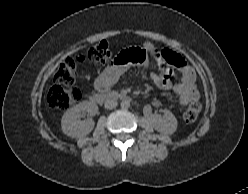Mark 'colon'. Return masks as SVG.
<instances>
[{
	"instance_id": "5ec220e1",
	"label": "colon",
	"mask_w": 248,
	"mask_h": 194,
	"mask_svg": "<svg viewBox=\"0 0 248 194\" xmlns=\"http://www.w3.org/2000/svg\"><path fill=\"white\" fill-rule=\"evenodd\" d=\"M170 50H158L154 53L157 64L162 63V58H168ZM142 54L141 50L133 49L123 54L124 62H133ZM95 62L108 63L111 54L107 42L101 41L90 47L87 54H78L67 58L57 69L54 84L50 87L47 95L48 105L54 109L65 110L75 105L81 97L80 91L75 87H65L72 84L77 76L78 64L85 59ZM201 104L198 101L191 102L185 109L183 117L188 123L194 122L200 113Z\"/></svg>"
}]
</instances>
